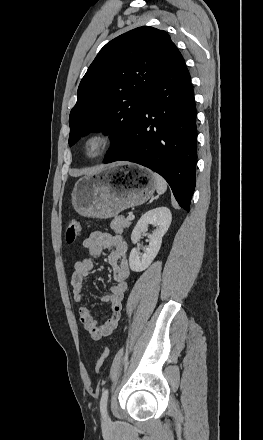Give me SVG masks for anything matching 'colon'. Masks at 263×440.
Listing matches in <instances>:
<instances>
[{"label":"colon","instance_id":"5ec220e1","mask_svg":"<svg viewBox=\"0 0 263 440\" xmlns=\"http://www.w3.org/2000/svg\"><path fill=\"white\" fill-rule=\"evenodd\" d=\"M82 226L79 218L70 219L66 227V240L68 243L75 242L81 234ZM108 348L105 347L97 359L95 370L99 372L105 364L108 356Z\"/></svg>","mask_w":263,"mask_h":440}]
</instances>
